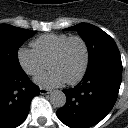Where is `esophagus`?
<instances>
[{
  "label": "esophagus",
  "instance_id": "obj_1",
  "mask_svg": "<svg viewBox=\"0 0 128 128\" xmlns=\"http://www.w3.org/2000/svg\"><path fill=\"white\" fill-rule=\"evenodd\" d=\"M49 93H50V90L45 89V88H40V94L46 95V94H49Z\"/></svg>",
  "mask_w": 128,
  "mask_h": 128
}]
</instances>
